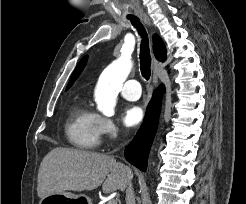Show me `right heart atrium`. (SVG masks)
Returning a JSON list of instances; mask_svg holds the SVG:
<instances>
[{"label":"right heart atrium","instance_id":"1","mask_svg":"<svg viewBox=\"0 0 246 204\" xmlns=\"http://www.w3.org/2000/svg\"><path fill=\"white\" fill-rule=\"evenodd\" d=\"M119 128L114 121L107 117H101V133L109 139H116L119 136Z\"/></svg>","mask_w":246,"mask_h":204}]
</instances>
